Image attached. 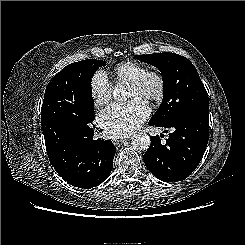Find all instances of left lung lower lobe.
<instances>
[{
	"instance_id": "0a47b994",
	"label": "left lung lower lobe",
	"mask_w": 245,
	"mask_h": 245,
	"mask_svg": "<svg viewBox=\"0 0 245 245\" xmlns=\"http://www.w3.org/2000/svg\"><path fill=\"white\" fill-rule=\"evenodd\" d=\"M149 125L173 127L175 131L169 134L166 144L161 143L158 135L151 137V145L144 154L147 169L164 182L186 179L202 160L208 143V110H193L168 124L150 121Z\"/></svg>"
}]
</instances>
